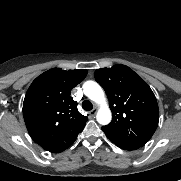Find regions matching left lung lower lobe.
<instances>
[{"mask_svg":"<svg viewBox=\"0 0 181 181\" xmlns=\"http://www.w3.org/2000/svg\"><path fill=\"white\" fill-rule=\"evenodd\" d=\"M118 147L122 148V149H125V150H136L142 146H138V145H126V146H119L117 145Z\"/></svg>","mask_w":181,"mask_h":181,"instance_id":"1","label":"left lung lower lobe"}]
</instances>
